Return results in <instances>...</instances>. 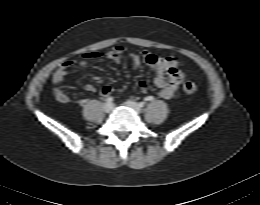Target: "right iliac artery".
<instances>
[{"label": "right iliac artery", "instance_id": "82829eb1", "mask_svg": "<svg viewBox=\"0 0 260 205\" xmlns=\"http://www.w3.org/2000/svg\"><path fill=\"white\" fill-rule=\"evenodd\" d=\"M107 103H111L113 101V99L111 97L106 99Z\"/></svg>", "mask_w": 260, "mask_h": 205}]
</instances>
